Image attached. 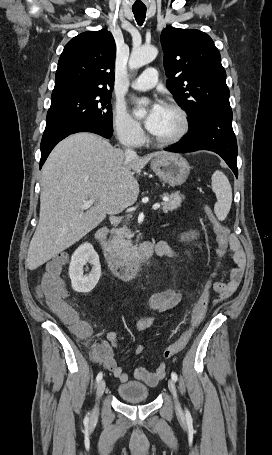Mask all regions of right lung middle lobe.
Instances as JSON below:
<instances>
[{
  "label": "right lung middle lobe",
  "mask_w": 272,
  "mask_h": 455,
  "mask_svg": "<svg viewBox=\"0 0 272 455\" xmlns=\"http://www.w3.org/2000/svg\"><path fill=\"white\" fill-rule=\"evenodd\" d=\"M111 94L70 96L51 101L46 126L63 122L94 121L112 129Z\"/></svg>",
  "instance_id": "1"
}]
</instances>
